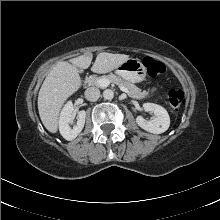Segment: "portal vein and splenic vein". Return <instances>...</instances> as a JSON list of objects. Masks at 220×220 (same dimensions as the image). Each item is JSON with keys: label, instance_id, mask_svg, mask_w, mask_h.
Returning <instances> with one entry per match:
<instances>
[{"label": "portal vein and splenic vein", "instance_id": "portal-vein-and-splenic-vein-1", "mask_svg": "<svg viewBox=\"0 0 220 220\" xmlns=\"http://www.w3.org/2000/svg\"><path fill=\"white\" fill-rule=\"evenodd\" d=\"M110 83H111L110 80H108L106 78H100V79L97 80V84L100 87H107ZM119 88H120L121 91H123L125 93H129L128 89L125 88L124 86L119 85Z\"/></svg>", "mask_w": 220, "mask_h": 220}]
</instances>
